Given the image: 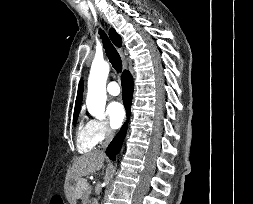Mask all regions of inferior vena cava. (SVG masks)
I'll return each instance as SVG.
<instances>
[{
	"mask_svg": "<svg viewBox=\"0 0 253 204\" xmlns=\"http://www.w3.org/2000/svg\"><path fill=\"white\" fill-rule=\"evenodd\" d=\"M114 137V131H112L110 128L107 129L106 131V138H105V141L102 145V148H106L108 146V144L112 141Z\"/></svg>",
	"mask_w": 253,
	"mask_h": 204,
	"instance_id": "obj_1",
	"label": "inferior vena cava"
}]
</instances>
